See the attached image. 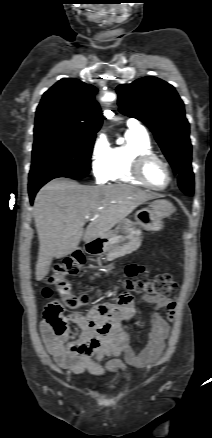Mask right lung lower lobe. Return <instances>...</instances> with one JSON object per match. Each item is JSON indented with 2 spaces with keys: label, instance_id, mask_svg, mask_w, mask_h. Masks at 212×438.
Returning <instances> with one entry per match:
<instances>
[{
  "label": "right lung lower lobe",
  "instance_id": "1",
  "mask_svg": "<svg viewBox=\"0 0 212 438\" xmlns=\"http://www.w3.org/2000/svg\"><path fill=\"white\" fill-rule=\"evenodd\" d=\"M86 176H88V174H67V173H44V174L29 176L28 189H29L30 202L33 203L37 191L51 179L58 177L83 178Z\"/></svg>",
  "mask_w": 212,
  "mask_h": 438
}]
</instances>
